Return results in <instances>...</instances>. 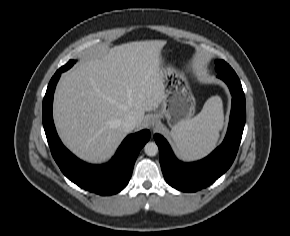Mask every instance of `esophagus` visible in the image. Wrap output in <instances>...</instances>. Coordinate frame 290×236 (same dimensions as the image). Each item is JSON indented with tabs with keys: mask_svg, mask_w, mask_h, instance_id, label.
Masks as SVG:
<instances>
[{
	"mask_svg": "<svg viewBox=\"0 0 290 236\" xmlns=\"http://www.w3.org/2000/svg\"><path fill=\"white\" fill-rule=\"evenodd\" d=\"M147 122H148L149 127L155 130L158 125V118L155 116H150Z\"/></svg>",
	"mask_w": 290,
	"mask_h": 236,
	"instance_id": "obj_1",
	"label": "esophagus"
}]
</instances>
